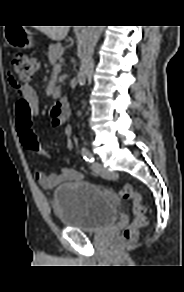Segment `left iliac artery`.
I'll use <instances>...</instances> for the list:
<instances>
[{"instance_id":"44dca946","label":"left iliac artery","mask_w":184,"mask_h":292,"mask_svg":"<svg viewBox=\"0 0 184 292\" xmlns=\"http://www.w3.org/2000/svg\"><path fill=\"white\" fill-rule=\"evenodd\" d=\"M82 156L87 162H93L94 157L92 153L87 148H82Z\"/></svg>"}]
</instances>
